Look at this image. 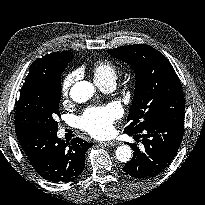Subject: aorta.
<instances>
[{"mask_svg": "<svg viewBox=\"0 0 205 205\" xmlns=\"http://www.w3.org/2000/svg\"><path fill=\"white\" fill-rule=\"evenodd\" d=\"M95 92V87L88 81H80L75 83L71 90L70 96L74 102L83 103L88 101ZM116 159L120 162L126 163L132 157V150L128 145L118 146L115 151Z\"/></svg>", "mask_w": 205, "mask_h": 205, "instance_id": "aorta-1", "label": "aorta"}]
</instances>
